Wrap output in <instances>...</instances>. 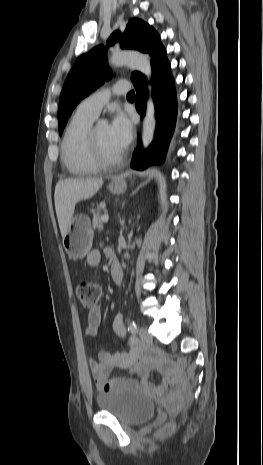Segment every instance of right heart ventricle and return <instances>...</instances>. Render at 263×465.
<instances>
[{
    "label": "right heart ventricle",
    "mask_w": 263,
    "mask_h": 465,
    "mask_svg": "<svg viewBox=\"0 0 263 465\" xmlns=\"http://www.w3.org/2000/svg\"><path fill=\"white\" fill-rule=\"evenodd\" d=\"M94 120L95 118L77 110L65 129L61 158L66 169L73 175H89L100 169L91 159L86 139Z\"/></svg>",
    "instance_id": "1"
}]
</instances>
